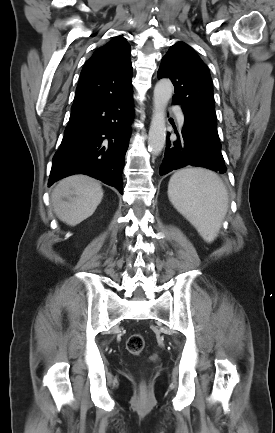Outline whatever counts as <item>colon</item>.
Wrapping results in <instances>:
<instances>
[{
	"label": "colon",
	"mask_w": 275,
	"mask_h": 433,
	"mask_svg": "<svg viewBox=\"0 0 275 433\" xmlns=\"http://www.w3.org/2000/svg\"><path fill=\"white\" fill-rule=\"evenodd\" d=\"M126 348L132 355L138 356L144 349V339L141 334L134 333L129 336L126 342Z\"/></svg>",
	"instance_id": "colon-1"
}]
</instances>
